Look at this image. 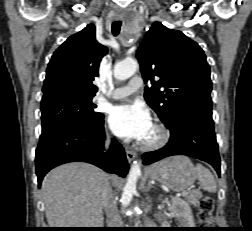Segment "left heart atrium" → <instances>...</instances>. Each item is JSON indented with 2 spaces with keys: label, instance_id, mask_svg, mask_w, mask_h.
<instances>
[{
  "label": "left heart atrium",
  "instance_id": "obj_1",
  "mask_svg": "<svg viewBox=\"0 0 252 231\" xmlns=\"http://www.w3.org/2000/svg\"><path fill=\"white\" fill-rule=\"evenodd\" d=\"M108 123L118 137L138 141H144L153 127L149 111L138 102L113 107Z\"/></svg>",
  "mask_w": 252,
  "mask_h": 231
}]
</instances>
